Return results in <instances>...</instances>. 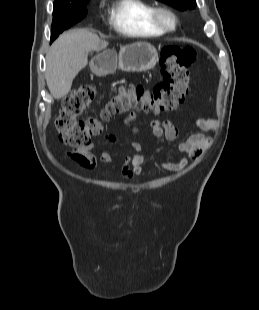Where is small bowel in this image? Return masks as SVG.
<instances>
[{
	"label": "small bowel",
	"instance_id": "c3829d8e",
	"mask_svg": "<svg viewBox=\"0 0 259 310\" xmlns=\"http://www.w3.org/2000/svg\"><path fill=\"white\" fill-rule=\"evenodd\" d=\"M134 114H129L124 119V124L130 128L131 134L136 135L139 132L138 127L133 125ZM219 123L214 119L200 118L195 122V127L203 132L216 131ZM151 136L155 139L164 138L167 141H174L179 135V129L169 120H154L150 125ZM102 141L117 148L119 146L118 138L113 134H104ZM212 144L210 136L204 133H195L189 136L185 141L178 145V151L187 154L177 162H163L160 166L169 171H180L187 167L190 159H197ZM131 148L133 154L125 157L120 165L121 175L132 180L135 177L144 175V167L147 162V155L143 152L144 145L139 141H133ZM99 150V145L89 144L88 146L67 150L66 156L74 161L78 166L85 169H94L98 164H107L111 161V152L103 150L97 157L94 152Z\"/></svg>",
	"mask_w": 259,
	"mask_h": 310
}]
</instances>
